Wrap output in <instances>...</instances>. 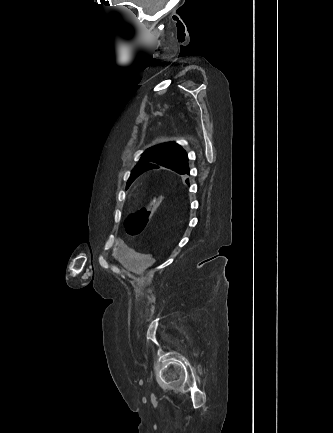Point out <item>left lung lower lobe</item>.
Returning a JSON list of instances; mask_svg holds the SVG:
<instances>
[{"label":"left lung lower lobe","mask_w":333,"mask_h":433,"mask_svg":"<svg viewBox=\"0 0 333 433\" xmlns=\"http://www.w3.org/2000/svg\"><path fill=\"white\" fill-rule=\"evenodd\" d=\"M145 169H146L145 171H147V170L156 169V168L153 165H148V166L145 167ZM186 174H190V171H188V173H186Z\"/></svg>","instance_id":"obj_1"}]
</instances>
